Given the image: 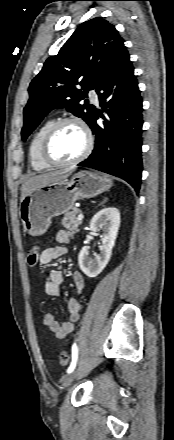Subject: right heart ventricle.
Returning <instances> with one entry per match:
<instances>
[{
  "label": "right heart ventricle",
  "mask_w": 174,
  "mask_h": 440,
  "mask_svg": "<svg viewBox=\"0 0 174 440\" xmlns=\"http://www.w3.org/2000/svg\"><path fill=\"white\" fill-rule=\"evenodd\" d=\"M55 121L48 119L44 121L32 135L28 145L29 162L32 169L36 172H43L50 169L52 166L45 163L41 156V146L45 134Z\"/></svg>",
  "instance_id": "obj_1"
}]
</instances>
